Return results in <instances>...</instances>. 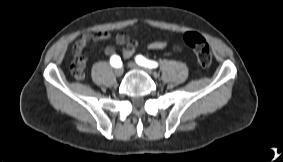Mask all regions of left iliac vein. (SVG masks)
<instances>
[{"mask_svg": "<svg viewBox=\"0 0 283 162\" xmlns=\"http://www.w3.org/2000/svg\"><path fill=\"white\" fill-rule=\"evenodd\" d=\"M128 66H129L130 68H132V69L142 70V71L146 72V73L149 74V75H154V73H153L151 70H149V69H147V68H144V67H142V66L136 64L135 62H129V63H128Z\"/></svg>", "mask_w": 283, "mask_h": 162, "instance_id": "obj_1", "label": "left iliac vein"}]
</instances>
